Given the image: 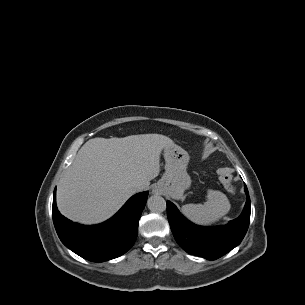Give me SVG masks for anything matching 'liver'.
<instances>
[{"label": "liver", "instance_id": "obj_1", "mask_svg": "<svg viewBox=\"0 0 305 305\" xmlns=\"http://www.w3.org/2000/svg\"><path fill=\"white\" fill-rule=\"evenodd\" d=\"M173 145L160 134L88 140L58 183L59 211L82 224L109 219L138 192L134 184L144 190L158 176L160 154Z\"/></svg>", "mask_w": 305, "mask_h": 305}]
</instances>
